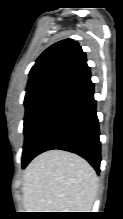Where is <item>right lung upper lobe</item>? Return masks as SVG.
Instances as JSON below:
<instances>
[{"instance_id": "obj_1", "label": "right lung upper lobe", "mask_w": 123, "mask_h": 219, "mask_svg": "<svg viewBox=\"0 0 123 219\" xmlns=\"http://www.w3.org/2000/svg\"><path fill=\"white\" fill-rule=\"evenodd\" d=\"M89 70L86 55L76 41L65 39L47 48L29 73L26 91L54 80L71 81Z\"/></svg>"}]
</instances>
